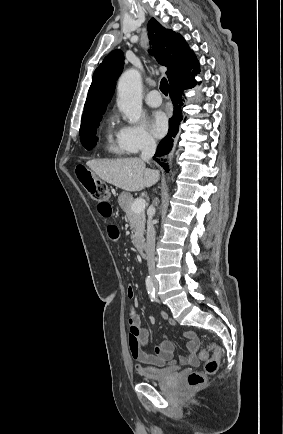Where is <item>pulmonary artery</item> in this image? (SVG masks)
I'll use <instances>...</instances> for the list:
<instances>
[{"label":"pulmonary artery","instance_id":"e3ab8cb5","mask_svg":"<svg viewBox=\"0 0 283 434\" xmlns=\"http://www.w3.org/2000/svg\"><path fill=\"white\" fill-rule=\"evenodd\" d=\"M145 101L151 107H158L162 103L161 96L157 90L150 91L146 95Z\"/></svg>","mask_w":283,"mask_h":434}]
</instances>
